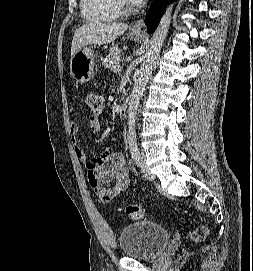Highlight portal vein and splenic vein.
<instances>
[{
  "label": "portal vein and splenic vein",
  "instance_id": "portal-vein-and-splenic-vein-1",
  "mask_svg": "<svg viewBox=\"0 0 253 271\" xmlns=\"http://www.w3.org/2000/svg\"><path fill=\"white\" fill-rule=\"evenodd\" d=\"M121 69H122V67L120 65H116V66H114L113 70H114V72H120Z\"/></svg>",
  "mask_w": 253,
  "mask_h": 271
}]
</instances>
